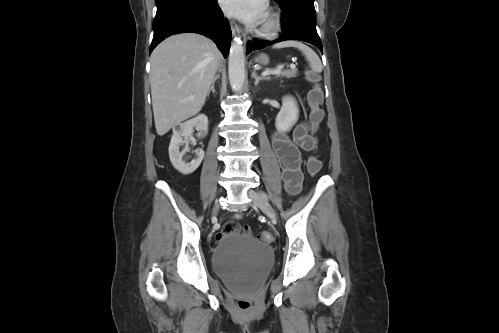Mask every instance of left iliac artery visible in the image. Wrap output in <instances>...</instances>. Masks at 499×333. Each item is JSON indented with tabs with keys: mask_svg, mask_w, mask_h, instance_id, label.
Here are the masks:
<instances>
[{
	"mask_svg": "<svg viewBox=\"0 0 499 333\" xmlns=\"http://www.w3.org/2000/svg\"><path fill=\"white\" fill-rule=\"evenodd\" d=\"M262 196L265 197V198L267 197L265 193H262Z\"/></svg>",
	"mask_w": 499,
	"mask_h": 333,
	"instance_id": "1",
	"label": "left iliac artery"
}]
</instances>
